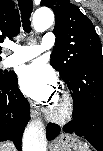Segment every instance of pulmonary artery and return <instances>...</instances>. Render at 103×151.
<instances>
[{
  "label": "pulmonary artery",
  "instance_id": "pulmonary-artery-1",
  "mask_svg": "<svg viewBox=\"0 0 103 151\" xmlns=\"http://www.w3.org/2000/svg\"><path fill=\"white\" fill-rule=\"evenodd\" d=\"M55 42V37L52 33H47L44 35L40 45H17L14 47V54L9 60L11 66H15L26 61H29L43 51L50 49Z\"/></svg>",
  "mask_w": 103,
  "mask_h": 151
}]
</instances>
